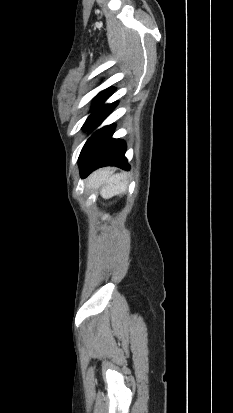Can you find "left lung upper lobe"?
Returning a JSON list of instances; mask_svg holds the SVG:
<instances>
[{"mask_svg": "<svg viewBox=\"0 0 233 413\" xmlns=\"http://www.w3.org/2000/svg\"><path fill=\"white\" fill-rule=\"evenodd\" d=\"M114 92V88L106 89L99 93L95 97V104L93 107V113L88 117L86 120L85 124L83 125L84 129H87L89 125L92 123V121L102 112V110L107 106V105H102L103 102Z\"/></svg>", "mask_w": 233, "mask_h": 413, "instance_id": "1", "label": "left lung upper lobe"}]
</instances>
